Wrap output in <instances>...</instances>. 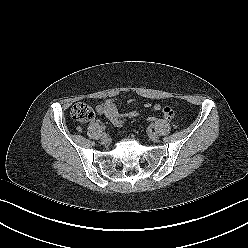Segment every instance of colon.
I'll use <instances>...</instances> for the list:
<instances>
[{"label":"colon","instance_id":"1","mask_svg":"<svg viewBox=\"0 0 248 248\" xmlns=\"http://www.w3.org/2000/svg\"><path fill=\"white\" fill-rule=\"evenodd\" d=\"M71 116L75 121L84 124L90 122L94 118V112L88 104L78 102L72 106ZM158 119L159 118L155 115H151L147 118L149 122H155Z\"/></svg>","mask_w":248,"mask_h":248}]
</instances>
